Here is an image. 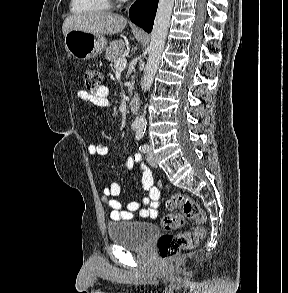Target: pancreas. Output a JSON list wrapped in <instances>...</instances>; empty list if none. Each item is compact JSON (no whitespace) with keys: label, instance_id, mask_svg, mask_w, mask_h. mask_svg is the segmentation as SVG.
Masks as SVG:
<instances>
[{"label":"pancreas","instance_id":"1","mask_svg":"<svg viewBox=\"0 0 288 293\" xmlns=\"http://www.w3.org/2000/svg\"><path fill=\"white\" fill-rule=\"evenodd\" d=\"M126 52L125 44L122 40H114L106 49L105 58L113 66V63L120 57H123ZM132 86L128 88L129 92H132Z\"/></svg>","mask_w":288,"mask_h":293}]
</instances>
